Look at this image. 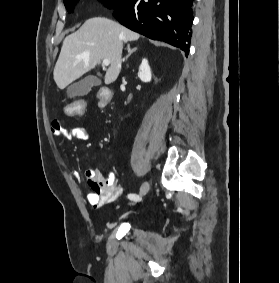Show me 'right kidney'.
<instances>
[{
    "label": "right kidney",
    "mask_w": 280,
    "mask_h": 283,
    "mask_svg": "<svg viewBox=\"0 0 280 283\" xmlns=\"http://www.w3.org/2000/svg\"><path fill=\"white\" fill-rule=\"evenodd\" d=\"M138 77L142 82H150L152 73L147 59H143L139 67Z\"/></svg>",
    "instance_id": "ca27d5eb"
}]
</instances>
